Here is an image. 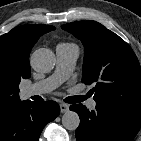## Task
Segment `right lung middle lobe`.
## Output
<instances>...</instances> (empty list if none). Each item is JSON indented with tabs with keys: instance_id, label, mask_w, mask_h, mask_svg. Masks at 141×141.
Segmentation results:
<instances>
[{
	"instance_id": "right-lung-middle-lobe-1",
	"label": "right lung middle lobe",
	"mask_w": 141,
	"mask_h": 141,
	"mask_svg": "<svg viewBox=\"0 0 141 141\" xmlns=\"http://www.w3.org/2000/svg\"><path fill=\"white\" fill-rule=\"evenodd\" d=\"M19 82L13 83V85H8L5 83H0V99L6 97L12 90L19 92L18 88Z\"/></svg>"
}]
</instances>
